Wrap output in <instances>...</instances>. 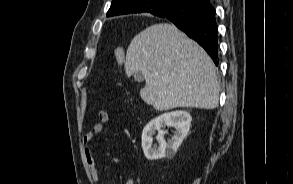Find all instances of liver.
Wrapping results in <instances>:
<instances>
[{
	"label": "liver",
	"instance_id": "1",
	"mask_svg": "<svg viewBox=\"0 0 293 184\" xmlns=\"http://www.w3.org/2000/svg\"><path fill=\"white\" fill-rule=\"evenodd\" d=\"M125 72L128 77L143 74L146 85L140 96L156 110L218 105L219 84L211 58L172 24L151 25L133 38Z\"/></svg>",
	"mask_w": 293,
	"mask_h": 184
}]
</instances>
